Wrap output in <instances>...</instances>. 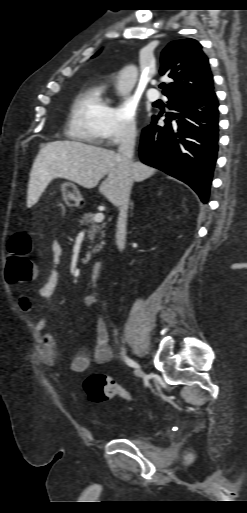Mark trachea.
Returning a JSON list of instances; mask_svg holds the SVG:
<instances>
[{"label":"trachea","mask_w":247,"mask_h":513,"mask_svg":"<svg viewBox=\"0 0 247 513\" xmlns=\"http://www.w3.org/2000/svg\"><path fill=\"white\" fill-rule=\"evenodd\" d=\"M164 86H165V85L161 84V85H160V88H163Z\"/></svg>","instance_id":"3493384b"}]
</instances>
